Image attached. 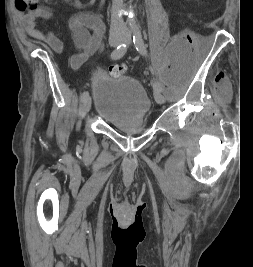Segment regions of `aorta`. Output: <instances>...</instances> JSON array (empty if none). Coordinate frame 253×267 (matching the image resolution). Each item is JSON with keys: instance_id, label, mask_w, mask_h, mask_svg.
<instances>
[{"instance_id": "aorta-1", "label": "aorta", "mask_w": 253, "mask_h": 267, "mask_svg": "<svg viewBox=\"0 0 253 267\" xmlns=\"http://www.w3.org/2000/svg\"><path fill=\"white\" fill-rule=\"evenodd\" d=\"M128 24H130V26H132V28H136V22H135L134 18H129Z\"/></svg>"}]
</instances>
